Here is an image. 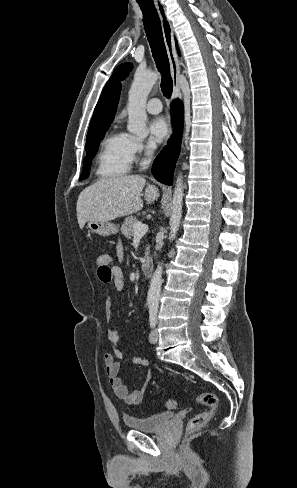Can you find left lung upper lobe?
I'll use <instances>...</instances> for the list:
<instances>
[{
	"instance_id": "5c2ea615",
	"label": "left lung upper lobe",
	"mask_w": 297,
	"mask_h": 488,
	"mask_svg": "<svg viewBox=\"0 0 297 488\" xmlns=\"http://www.w3.org/2000/svg\"><path fill=\"white\" fill-rule=\"evenodd\" d=\"M131 70H132V64H130V63H124V64L119 65L115 69V71L113 72V75L111 76V78L106 83V85H105V87L103 89V92L110 85H112L113 83H115L117 80H123V79H125L128 76V74H129V72Z\"/></svg>"
}]
</instances>
